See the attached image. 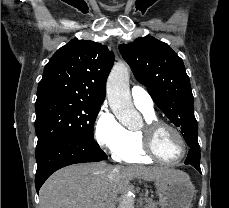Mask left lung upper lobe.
<instances>
[{"mask_svg":"<svg viewBox=\"0 0 229 208\" xmlns=\"http://www.w3.org/2000/svg\"><path fill=\"white\" fill-rule=\"evenodd\" d=\"M136 79L183 135L198 133L193 94L182 59L154 37L137 38L119 46Z\"/></svg>","mask_w":229,"mask_h":208,"instance_id":"obj_1","label":"left lung upper lobe"}]
</instances>
